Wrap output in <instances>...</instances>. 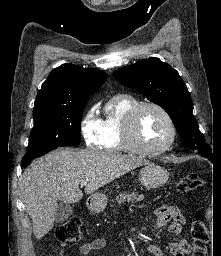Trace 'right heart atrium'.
<instances>
[{
  "mask_svg": "<svg viewBox=\"0 0 221 256\" xmlns=\"http://www.w3.org/2000/svg\"><path fill=\"white\" fill-rule=\"evenodd\" d=\"M80 131L88 147H99L102 142V120L96 115L95 106L89 108L80 122Z\"/></svg>",
  "mask_w": 221,
  "mask_h": 256,
  "instance_id": "d8ad5b80",
  "label": "right heart atrium"
}]
</instances>
